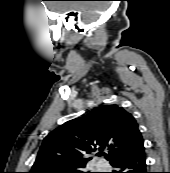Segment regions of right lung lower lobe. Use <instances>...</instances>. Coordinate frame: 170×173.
I'll use <instances>...</instances> for the list:
<instances>
[{"label":"right lung lower lobe","mask_w":170,"mask_h":173,"mask_svg":"<svg viewBox=\"0 0 170 173\" xmlns=\"http://www.w3.org/2000/svg\"><path fill=\"white\" fill-rule=\"evenodd\" d=\"M112 173H148L143 144L111 162Z\"/></svg>","instance_id":"obj_1"}]
</instances>
